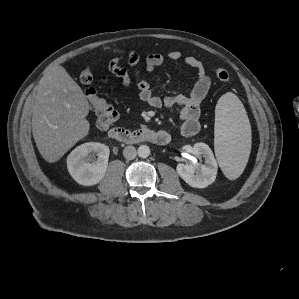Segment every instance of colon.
<instances>
[{
  "label": "colon",
  "instance_id": "1",
  "mask_svg": "<svg viewBox=\"0 0 299 299\" xmlns=\"http://www.w3.org/2000/svg\"><path fill=\"white\" fill-rule=\"evenodd\" d=\"M215 74L222 82H228L230 79L229 73L224 69H217ZM79 81L84 87L90 107L96 115V128L100 131H110L118 118L116 109L91 86L93 73L89 68L80 73Z\"/></svg>",
  "mask_w": 299,
  "mask_h": 299
}]
</instances>
